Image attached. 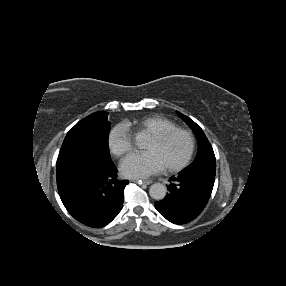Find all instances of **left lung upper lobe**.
I'll return each mask as SVG.
<instances>
[{
	"mask_svg": "<svg viewBox=\"0 0 286 286\" xmlns=\"http://www.w3.org/2000/svg\"><path fill=\"white\" fill-rule=\"evenodd\" d=\"M178 115L190 126V128L194 131L197 140H198V153L192 164L187 166L185 170L213 165L216 166V159L214 155V151L207 137L205 136L202 129L197 125L192 119L183 115L180 112H177Z\"/></svg>",
	"mask_w": 286,
	"mask_h": 286,
	"instance_id": "obj_1",
	"label": "left lung upper lobe"
}]
</instances>
